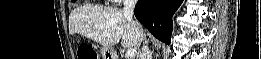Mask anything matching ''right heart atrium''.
<instances>
[{
    "mask_svg": "<svg viewBox=\"0 0 261 59\" xmlns=\"http://www.w3.org/2000/svg\"><path fill=\"white\" fill-rule=\"evenodd\" d=\"M124 0H112L113 3L120 4Z\"/></svg>",
    "mask_w": 261,
    "mask_h": 59,
    "instance_id": "d8ad5b80",
    "label": "right heart atrium"
}]
</instances>
